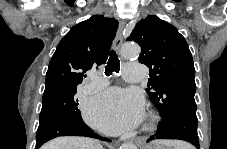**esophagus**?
Wrapping results in <instances>:
<instances>
[{
	"label": "esophagus",
	"instance_id": "obj_1",
	"mask_svg": "<svg viewBox=\"0 0 227 149\" xmlns=\"http://www.w3.org/2000/svg\"><path fill=\"white\" fill-rule=\"evenodd\" d=\"M124 27H125V21L121 20L119 22V29L114 41V49L119 52L120 48L122 46L123 43V31H124ZM137 145H146L147 141L145 137H138L137 141H136Z\"/></svg>",
	"mask_w": 227,
	"mask_h": 149
}]
</instances>
